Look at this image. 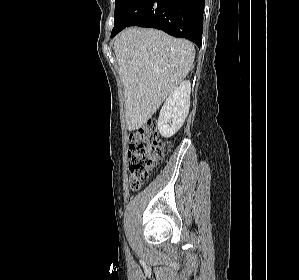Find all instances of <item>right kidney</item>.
Returning <instances> with one entry per match:
<instances>
[{
  "mask_svg": "<svg viewBox=\"0 0 299 280\" xmlns=\"http://www.w3.org/2000/svg\"><path fill=\"white\" fill-rule=\"evenodd\" d=\"M190 92V81H183L166 99L158 119V130L163 137H172L182 127L189 112Z\"/></svg>",
  "mask_w": 299,
  "mask_h": 280,
  "instance_id": "right-kidney-1",
  "label": "right kidney"
}]
</instances>
